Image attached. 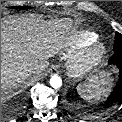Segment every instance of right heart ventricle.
<instances>
[{
    "label": "right heart ventricle",
    "instance_id": "obj_1",
    "mask_svg": "<svg viewBox=\"0 0 122 122\" xmlns=\"http://www.w3.org/2000/svg\"><path fill=\"white\" fill-rule=\"evenodd\" d=\"M99 39V35L91 30H81L73 34L67 42V49L70 51H76L84 49Z\"/></svg>",
    "mask_w": 122,
    "mask_h": 122
}]
</instances>
